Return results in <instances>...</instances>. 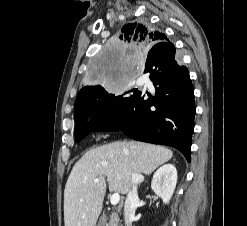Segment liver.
Wrapping results in <instances>:
<instances>
[{"label": "liver", "mask_w": 247, "mask_h": 226, "mask_svg": "<svg viewBox=\"0 0 247 226\" xmlns=\"http://www.w3.org/2000/svg\"><path fill=\"white\" fill-rule=\"evenodd\" d=\"M172 156L168 148L136 141H116L90 149L74 165L65 185V226H95L106 181L110 192L126 194L132 188L133 172L149 175Z\"/></svg>", "instance_id": "1"}]
</instances>
